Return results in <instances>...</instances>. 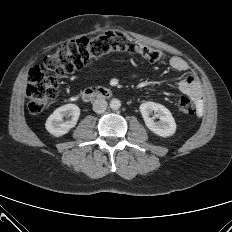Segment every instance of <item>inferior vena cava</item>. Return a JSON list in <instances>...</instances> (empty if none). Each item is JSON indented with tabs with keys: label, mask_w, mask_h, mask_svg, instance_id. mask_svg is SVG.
<instances>
[{
	"label": "inferior vena cava",
	"mask_w": 232,
	"mask_h": 232,
	"mask_svg": "<svg viewBox=\"0 0 232 232\" xmlns=\"http://www.w3.org/2000/svg\"><path fill=\"white\" fill-rule=\"evenodd\" d=\"M107 101L104 99H97L93 102V110L94 112L101 114L105 112L107 109Z\"/></svg>",
	"instance_id": "1"
}]
</instances>
